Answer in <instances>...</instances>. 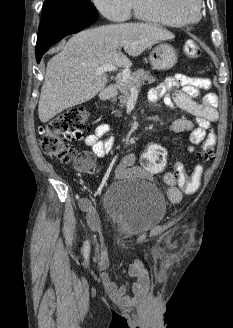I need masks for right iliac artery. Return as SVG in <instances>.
<instances>
[{
  "mask_svg": "<svg viewBox=\"0 0 233 328\" xmlns=\"http://www.w3.org/2000/svg\"><path fill=\"white\" fill-rule=\"evenodd\" d=\"M89 250H90L89 242L86 241L84 244V249H83L84 256L87 257L89 255Z\"/></svg>",
  "mask_w": 233,
  "mask_h": 328,
  "instance_id": "right-iliac-artery-1",
  "label": "right iliac artery"
}]
</instances>
